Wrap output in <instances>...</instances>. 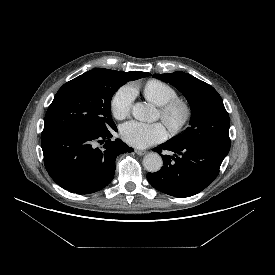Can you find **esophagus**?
<instances>
[{
    "instance_id": "esophagus-1",
    "label": "esophagus",
    "mask_w": 275,
    "mask_h": 275,
    "mask_svg": "<svg viewBox=\"0 0 275 275\" xmlns=\"http://www.w3.org/2000/svg\"><path fill=\"white\" fill-rule=\"evenodd\" d=\"M135 153H136L137 155H139V156H143V155H145L147 152L144 151V150H138V149H136V150H135Z\"/></svg>"
}]
</instances>
